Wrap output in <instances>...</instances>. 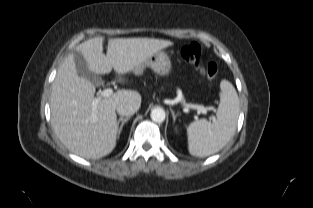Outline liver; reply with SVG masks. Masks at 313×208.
Returning a JSON list of instances; mask_svg holds the SVG:
<instances>
[{"mask_svg":"<svg viewBox=\"0 0 313 208\" xmlns=\"http://www.w3.org/2000/svg\"><path fill=\"white\" fill-rule=\"evenodd\" d=\"M103 41V37H95L76 47L89 69L96 74H108L114 69L118 75H124L151 55L173 45L169 40L154 38H114L108 40L105 55ZM94 94V84L78 75L74 56L69 54L53 82L51 123L66 148L88 159L107 156L115 148L118 137L117 105L127 102L138 110L142 100L141 95L133 90L122 89L110 97L95 98ZM96 99L98 102L94 104Z\"/></svg>","mask_w":313,"mask_h":208,"instance_id":"obj_1","label":"liver"}]
</instances>
